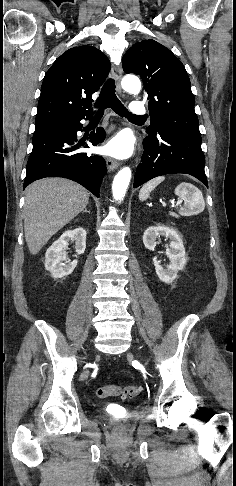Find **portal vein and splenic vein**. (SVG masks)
Instances as JSON below:
<instances>
[{
    "mask_svg": "<svg viewBox=\"0 0 236 486\" xmlns=\"http://www.w3.org/2000/svg\"><path fill=\"white\" fill-rule=\"evenodd\" d=\"M181 203H182V201H181V200H178V201H177V204H178V205H180Z\"/></svg>",
    "mask_w": 236,
    "mask_h": 486,
    "instance_id": "portal-vein-and-splenic-vein-1",
    "label": "portal vein and splenic vein"
}]
</instances>
